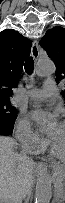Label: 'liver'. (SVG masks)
<instances>
[{
	"label": "liver",
	"mask_w": 65,
	"mask_h": 203,
	"mask_svg": "<svg viewBox=\"0 0 65 203\" xmlns=\"http://www.w3.org/2000/svg\"><path fill=\"white\" fill-rule=\"evenodd\" d=\"M15 142L9 137H0V202L15 203L21 190L24 195L34 173L35 163L13 150ZM23 195V196H24Z\"/></svg>",
	"instance_id": "obj_1"
}]
</instances>
